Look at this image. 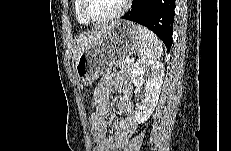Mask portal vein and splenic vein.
<instances>
[{"instance_id": "18ae733b", "label": "portal vein and splenic vein", "mask_w": 231, "mask_h": 151, "mask_svg": "<svg viewBox=\"0 0 231 151\" xmlns=\"http://www.w3.org/2000/svg\"><path fill=\"white\" fill-rule=\"evenodd\" d=\"M125 62H126V63H130V62H133V60L130 59V58H126V59H125Z\"/></svg>"}]
</instances>
